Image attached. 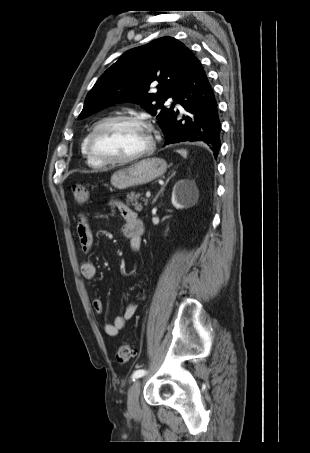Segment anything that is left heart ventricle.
Segmentation results:
<instances>
[{"label": "left heart ventricle", "instance_id": "1", "mask_svg": "<svg viewBox=\"0 0 310 453\" xmlns=\"http://www.w3.org/2000/svg\"><path fill=\"white\" fill-rule=\"evenodd\" d=\"M149 144L145 128L130 122L114 123L96 135L97 151L111 158H124L138 153Z\"/></svg>", "mask_w": 310, "mask_h": 453}]
</instances>
